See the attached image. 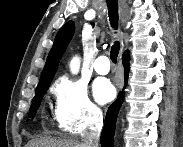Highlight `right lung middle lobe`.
Returning a JSON list of instances; mask_svg holds the SVG:
<instances>
[{
	"instance_id": "dd1d6c3e",
	"label": "right lung middle lobe",
	"mask_w": 183,
	"mask_h": 147,
	"mask_svg": "<svg viewBox=\"0 0 183 147\" xmlns=\"http://www.w3.org/2000/svg\"><path fill=\"white\" fill-rule=\"evenodd\" d=\"M49 87L41 88L36 90L35 97L32 100V105L30 107L29 111V117L33 118L36 114L37 109L40 106V103L42 101V97L45 95L46 91Z\"/></svg>"
}]
</instances>
